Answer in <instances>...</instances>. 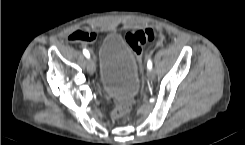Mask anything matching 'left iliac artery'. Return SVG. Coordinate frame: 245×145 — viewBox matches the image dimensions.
<instances>
[{
	"mask_svg": "<svg viewBox=\"0 0 245 145\" xmlns=\"http://www.w3.org/2000/svg\"><path fill=\"white\" fill-rule=\"evenodd\" d=\"M147 68L148 69H152V61L151 60H148V62H147Z\"/></svg>",
	"mask_w": 245,
	"mask_h": 145,
	"instance_id": "1",
	"label": "left iliac artery"
}]
</instances>
